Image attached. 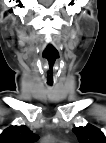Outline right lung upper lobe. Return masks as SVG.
<instances>
[{
    "label": "right lung upper lobe",
    "mask_w": 106,
    "mask_h": 143,
    "mask_svg": "<svg viewBox=\"0 0 106 143\" xmlns=\"http://www.w3.org/2000/svg\"><path fill=\"white\" fill-rule=\"evenodd\" d=\"M38 136L27 126H10L0 134V143H34Z\"/></svg>",
    "instance_id": "cb5924a9"
}]
</instances>
